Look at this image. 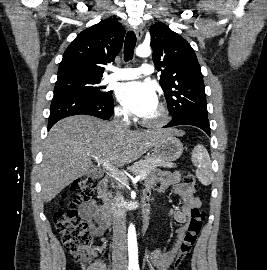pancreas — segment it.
<instances>
[{"label":"pancreas","mask_w":267,"mask_h":270,"mask_svg":"<svg viewBox=\"0 0 267 270\" xmlns=\"http://www.w3.org/2000/svg\"><path fill=\"white\" fill-rule=\"evenodd\" d=\"M157 167L172 168L174 167V164L168 161L161 160L155 156H148L140 160L139 162L134 163L131 167H129V171L133 174H144L147 176ZM118 186L120 188H124V185L122 183H119Z\"/></svg>","instance_id":"pancreas-1"}]
</instances>
